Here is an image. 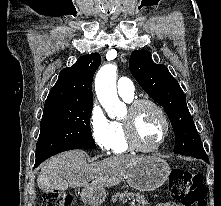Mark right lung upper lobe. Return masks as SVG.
<instances>
[{
	"mask_svg": "<svg viewBox=\"0 0 221 206\" xmlns=\"http://www.w3.org/2000/svg\"><path fill=\"white\" fill-rule=\"evenodd\" d=\"M101 63L98 53L84 55L69 68L63 69L49 92L44 110L92 106V79Z\"/></svg>",
	"mask_w": 221,
	"mask_h": 206,
	"instance_id": "obj_1",
	"label": "right lung upper lobe"
}]
</instances>
